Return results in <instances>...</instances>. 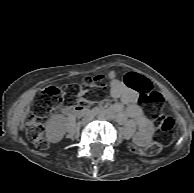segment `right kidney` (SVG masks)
<instances>
[{
  "label": "right kidney",
  "instance_id": "right-kidney-1",
  "mask_svg": "<svg viewBox=\"0 0 194 193\" xmlns=\"http://www.w3.org/2000/svg\"><path fill=\"white\" fill-rule=\"evenodd\" d=\"M46 131V137L48 141L52 143L59 142L65 134L58 116H54L49 120Z\"/></svg>",
  "mask_w": 194,
  "mask_h": 193
}]
</instances>
